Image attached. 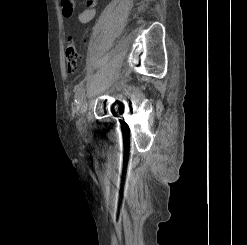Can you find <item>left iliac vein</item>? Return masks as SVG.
I'll return each mask as SVG.
<instances>
[{
    "mask_svg": "<svg viewBox=\"0 0 247 245\" xmlns=\"http://www.w3.org/2000/svg\"><path fill=\"white\" fill-rule=\"evenodd\" d=\"M86 108H87V102L84 100L80 103L79 107H78V111H79V119L77 121V127L79 129H83L85 126V112H86Z\"/></svg>",
    "mask_w": 247,
    "mask_h": 245,
    "instance_id": "obj_1",
    "label": "left iliac vein"
}]
</instances>
